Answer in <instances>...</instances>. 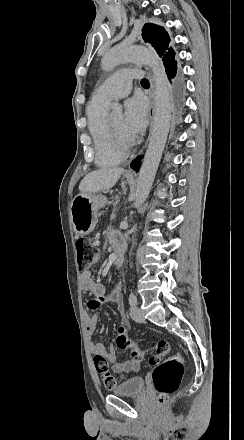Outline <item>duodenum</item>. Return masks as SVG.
<instances>
[{
  "label": "duodenum",
  "instance_id": "1",
  "mask_svg": "<svg viewBox=\"0 0 244 440\" xmlns=\"http://www.w3.org/2000/svg\"><path fill=\"white\" fill-rule=\"evenodd\" d=\"M114 245L116 246L114 250V266L121 268L124 261V247L121 241H117Z\"/></svg>",
  "mask_w": 244,
  "mask_h": 440
}]
</instances>
